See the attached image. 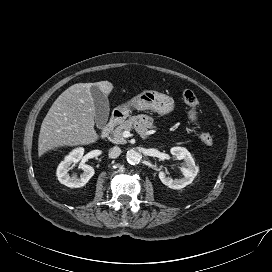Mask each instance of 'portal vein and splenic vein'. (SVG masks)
Wrapping results in <instances>:
<instances>
[{"mask_svg": "<svg viewBox=\"0 0 272 272\" xmlns=\"http://www.w3.org/2000/svg\"><path fill=\"white\" fill-rule=\"evenodd\" d=\"M124 134L128 135L129 136V132L128 131H125Z\"/></svg>", "mask_w": 272, "mask_h": 272, "instance_id": "18ae733b", "label": "portal vein and splenic vein"}]
</instances>
